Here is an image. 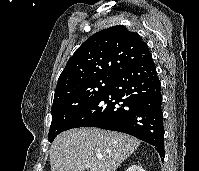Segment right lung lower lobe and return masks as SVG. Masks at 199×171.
<instances>
[{
	"mask_svg": "<svg viewBox=\"0 0 199 171\" xmlns=\"http://www.w3.org/2000/svg\"><path fill=\"white\" fill-rule=\"evenodd\" d=\"M152 56L123 70L64 131L98 127L124 132L153 146L164 158L161 88Z\"/></svg>",
	"mask_w": 199,
	"mask_h": 171,
	"instance_id": "right-lung-lower-lobe-1",
	"label": "right lung lower lobe"
}]
</instances>
